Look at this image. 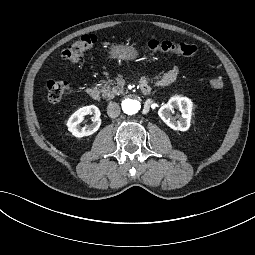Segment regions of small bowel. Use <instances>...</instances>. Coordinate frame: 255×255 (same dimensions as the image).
Returning <instances> with one entry per match:
<instances>
[{
  "mask_svg": "<svg viewBox=\"0 0 255 255\" xmlns=\"http://www.w3.org/2000/svg\"><path fill=\"white\" fill-rule=\"evenodd\" d=\"M177 76L178 68L176 66H173L169 70H167L160 78H158L156 83L159 86H168L176 80Z\"/></svg>",
  "mask_w": 255,
  "mask_h": 255,
  "instance_id": "1",
  "label": "small bowel"
}]
</instances>
